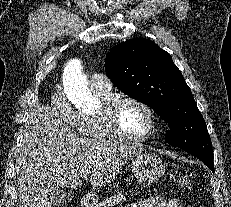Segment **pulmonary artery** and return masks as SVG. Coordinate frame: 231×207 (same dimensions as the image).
Returning <instances> with one entry per match:
<instances>
[{
  "mask_svg": "<svg viewBox=\"0 0 231 207\" xmlns=\"http://www.w3.org/2000/svg\"><path fill=\"white\" fill-rule=\"evenodd\" d=\"M90 86L93 90L104 92H110L112 89L110 79L102 73H96L90 77Z\"/></svg>",
  "mask_w": 231,
  "mask_h": 207,
  "instance_id": "e3ab8cb5",
  "label": "pulmonary artery"
}]
</instances>
